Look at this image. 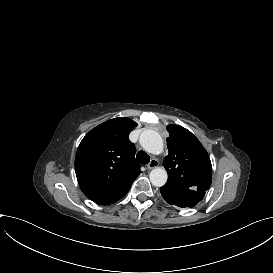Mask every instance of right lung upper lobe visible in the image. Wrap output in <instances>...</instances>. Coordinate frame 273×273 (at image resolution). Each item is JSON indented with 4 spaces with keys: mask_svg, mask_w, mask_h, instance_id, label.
Here are the masks:
<instances>
[{
    "mask_svg": "<svg viewBox=\"0 0 273 273\" xmlns=\"http://www.w3.org/2000/svg\"><path fill=\"white\" fill-rule=\"evenodd\" d=\"M137 123L114 118L92 129L79 144L75 171L84 194L101 205L112 204L129 191L141 173L135 147L129 141Z\"/></svg>",
    "mask_w": 273,
    "mask_h": 273,
    "instance_id": "right-lung-upper-lobe-1",
    "label": "right lung upper lobe"
}]
</instances>
